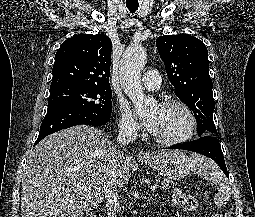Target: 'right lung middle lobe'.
<instances>
[{
    "label": "right lung middle lobe",
    "mask_w": 255,
    "mask_h": 217,
    "mask_svg": "<svg viewBox=\"0 0 255 217\" xmlns=\"http://www.w3.org/2000/svg\"><path fill=\"white\" fill-rule=\"evenodd\" d=\"M111 88L82 84H62L50 87L48 106L68 104L93 113L110 116L112 112Z\"/></svg>",
    "instance_id": "1"
}]
</instances>
